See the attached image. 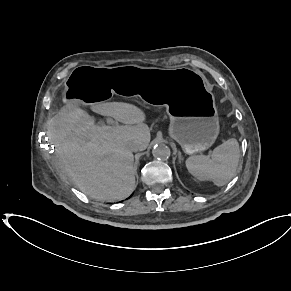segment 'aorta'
Instances as JSON below:
<instances>
[{
	"instance_id": "762f6f07",
	"label": "aorta",
	"mask_w": 291,
	"mask_h": 291,
	"mask_svg": "<svg viewBox=\"0 0 291 291\" xmlns=\"http://www.w3.org/2000/svg\"><path fill=\"white\" fill-rule=\"evenodd\" d=\"M152 154L156 159L167 160L171 155V151L168 146L161 144L153 148Z\"/></svg>"
}]
</instances>
